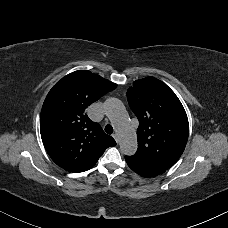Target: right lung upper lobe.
Masks as SVG:
<instances>
[{
  "label": "right lung upper lobe",
  "instance_id": "cb5924a9",
  "mask_svg": "<svg viewBox=\"0 0 228 228\" xmlns=\"http://www.w3.org/2000/svg\"><path fill=\"white\" fill-rule=\"evenodd\" d=\"M117 87L87 70L63 77L48 93L40 115L43 144L60 167L71 172L91 168L115 140L87 116L94 101Z\"/></svg>",
  "mask_w": 228,
  "mask_h": 228
}]
</instances>
